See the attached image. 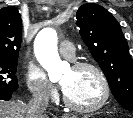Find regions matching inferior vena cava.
<instances>
[{
    "label": "inferior vena cava",
    "instance_id": "obj_1",
    "mask_svg": "<svg viewBox=\"0 0 133 118\" xmlns=\"http://www.w3.org/2000/svg\"><path fill=\"white\" fill-rule=\"evenodd\" d=\"M49 94L41 91L35 94L34 98L28 104V118H44V112L48 107Z\"/></svg>",
    "mask_w": 133,
    "mask_h": 118
}]
</instances>
